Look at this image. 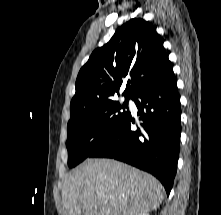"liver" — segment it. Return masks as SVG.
I'll return each mask as SVG.
<instances>
[{"label": "liver", "instance_id": "liver-1", "mask_svg": "<svg viewBox=\"0 0 221 215\" xmlns=\"http://www.w3.org/2000/svg\"><path fill=\"white\" fill-rule=\"evenodd\" d=\"M152 175L110 159H87L63 184L65 215H139L156 210L164 199Z\"/></svg>", "mask_w": 221, "mask_h": 215}]
</instances>
